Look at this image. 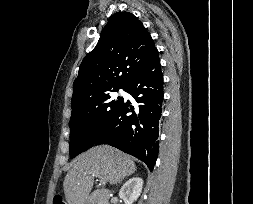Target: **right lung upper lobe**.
<instances>
[{
    "instance_id": "right-lung-upper-lobe-1",
    "label": "right lung upper lobe",
    "mask_w": 253,
    "mask_h": 204,
    "mask_svg": "<svg viewBox=\"0 0 253 204\" xmlns=\"http://www.w3.org/2000/svg\"><path fill=\"white\" fill-rule=\"evenodd\" d=\"M156 50L143 24L129 12L115 13L98 44L83 59L73 84L72 108L124 88Z\"/></svg>"
}]
</instances>
